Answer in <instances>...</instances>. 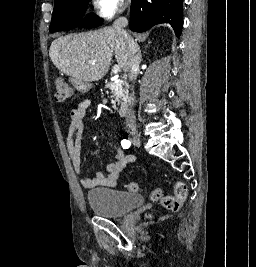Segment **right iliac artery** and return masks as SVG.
<instances>
[{
    "mask_svg": "<svg viewBox=\"0 0 256 267\" xmlns=\"http://www.w3.org/2000/svg\"><path fill=\"white\" fill-rule=\"evenodd\" d=\"M121 145L124 149H128L131 146V142L129 140L124 139L121 141Z\"/></svg>",
    "mask_w": 256,
    "mask_h": 267,
    "instance_id": "82829eb1",
    "label": "right iliac artery"
}]
</instances>
